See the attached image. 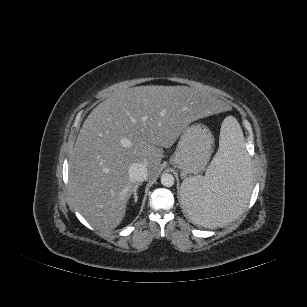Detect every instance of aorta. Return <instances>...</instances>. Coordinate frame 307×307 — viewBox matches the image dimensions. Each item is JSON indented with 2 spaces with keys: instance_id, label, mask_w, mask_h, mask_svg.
<instances>
[{
  "instance_id": "aorta-1",
  "label": "aorta",
  "mask_w": 307,
  "mask_h": 307,
  "mask_svg": "<svg viewBox=\"0 0 307 307\" xmlns=\"http://www.w3.org/2000/svg\"><path fill=\"white\" fill-rule=\"evenodd\" d=\"M174 176L170 173H163L161 176V184L165 187H172L174 185Z\"/></svg>"
}]
</instances>
